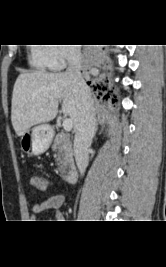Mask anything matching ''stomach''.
Masks as SVG:
<instances>
[{
  "instance_id": "stomach-1",
  "label": "stomach",
  "mask_w": 166,
  "mask_h": 267,
  "mask_svg": "<svg viewBox=\"0 0 166 267\" xmlns=\"http://www.w3.org/2000/svg\"><path fill=\"white\" fill-rule=\"evenodd\" d=\"M53 136V128L50 125H39L21 136V149L28 155L38 156L48 150Z\"/></svg>"
}]
</instances>
